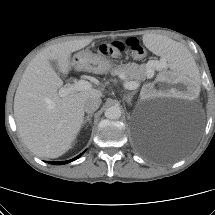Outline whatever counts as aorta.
I'll list each match as a JSON object with an SVG mask.
<instances>
[{
    "mask_svg": "<svg viewBox=\"0 0 215 215\" xmlns=\"http://www.w3.org/2000/svg\"><path fill=\"white\" fill-rule=\"evenodd\" d=\"M121 108L117 105L108 107L105 110V117L110 120H117L121 117Z\"/></svg>",
    "mask_w": 215,
    "mask_h": 215,
    "instance_id": "obj_1",
    "label": "aorta"
}]
</instances>
